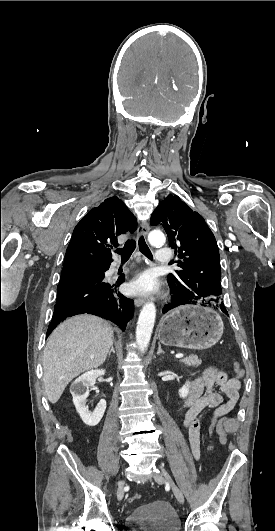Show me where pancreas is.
<instances>
[{
	"label": "pancreas",
	"mask_w": 275,
	"mask_h": 531,
	"mask_svg": "<svg viewBox=\"0 0 275 531\" xmlns=\"http://www.w3.org/2000/svg\"><path fill=\"white\" fill-rule=\"evenodd\" d=\"M180 363H185L186 367H198V365H201L202 361L201 359H198L196 355H189V357H185V359H180Z\"/></svg>",
	"instance_id": "obj_1"
}]
</instances>
